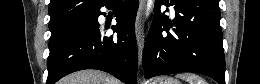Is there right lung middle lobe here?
<instances>
[{
    "label": "right lung middle lobe",
    "mask_w": 260,
    "mask_h": 84,
    "mask_svg": "<svg viewBox=\"0 0 260 84\" xmlns=\"http://www.w3.org/2000/svg\"><path fill=\"white\" fill-rule=\"evenodd\" d=\"M94 21H95V13L79 17L75 20H72L58 27L50 28L51 37L49 41V49L54 48L57 44H59L66 36H68L72 32L86 26H91L94 23Z\"/></svg>",
    "instance_id": "dd1d6c3e"
}]
</instances>
